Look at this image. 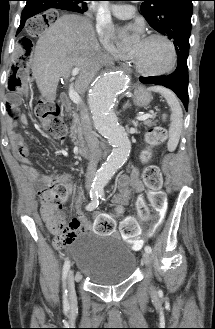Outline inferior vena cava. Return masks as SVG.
I'll use <instances>...</instances> for the list:
<instances>
[{
  "mask_svg": "<svg viewBox=\"0 0 215 329\" xmlns=\"http://www.w3.org/2000/svg\"><path fill=\"white\" fill-rule=\"evenodd\" d=\"M82 130L85 141L90 151V161L87 167L86 183L93 182L96 175L97 164L99 160V141L95 132L92 130L91 124L88 119V113L85 107L81 109Z\"/></svg>",
  "mask_w": 215,
  "mask_h": 329,
  "instance_id": "1",
  "label": "inferior vena cava"
}]
</instances>
